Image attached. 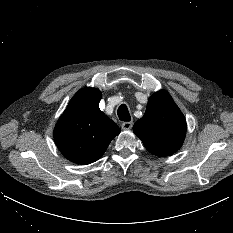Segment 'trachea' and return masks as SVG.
Here are the masks:
<instances>
[{
	"label": "trachea",
	"mask_w": 233,
	"mask_h": 233,
	"mask_svg": "<svg viewBox=\"0 0 233 233\" xmlns=\"http://www.w3.org/2000/svg\"><path fill=\"white\" fill-rule=\"evenodd\" d=\"M118 117L121 121L129 122L131 120L128 108L125 104H122L117 110Z\"/></svg>",
	"instance_id": "obj_1"
}]
</instances>
